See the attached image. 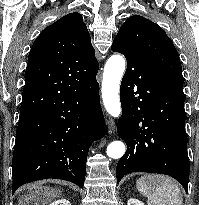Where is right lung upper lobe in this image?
<instances>
[{
  "label": "right lung upper lobe",
  "mask_w": 199,
  "mask_h": 205,
  "mask_svg": "<svg viewBox=\"0 0 199 205\" xmlns=\"http://www.w3.org/2000/svg\"><path fill=\"white\" fill-rule=\"evenodd\" d=\"M98 69L90 34L78 12L46 27L28 56L20 119L55 104L92 81ZM37 84L40 86L31 88Z\"/></svg>",
  "instance_id": "right-lung-upper-lobe-1"
}]
</instances>
